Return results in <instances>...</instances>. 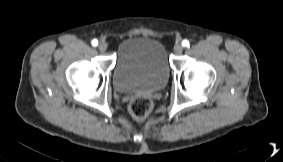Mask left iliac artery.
<instances>
[{
    "label": "left iliac artery",
    "mask_w": 283,
    "mask_h": 162,
    "mask_svg": "<svg viewBox=\"0 0 283 162\" xmlns=\"http://www.w3.org/2000/svg\"><path fill=\"white\" fill-rule=\"evenodd\" d=\"M182 45L184 46V47H188L189 46V41L188 40H183L182 41Z\"/></svg>",
    "instance_id": "1"
}]
</instances>
